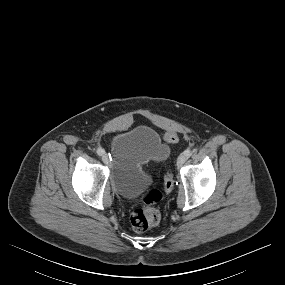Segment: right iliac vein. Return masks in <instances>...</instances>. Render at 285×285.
Returning a JSON list of instances; mask_svg holds the SVG:
<instances>
[{"label":"right iliac vein","instance_id":"1","mask_svg":"<svg viewBox=\"0 0 285 285\" xmlns=\"http://www.w3.org/2000/svg\"><path fill=\"white\" fill-rule=\"evenodd\" d=\"M102 161H103L105 164H108V162H109V157H108V155H107L106 153H104V154L102 155Z\"/></svg>","mask_w":285,"mask_h":285}]
</instances>
